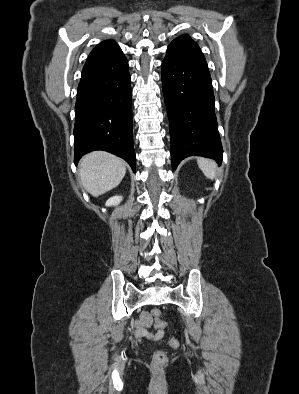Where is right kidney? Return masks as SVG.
<instances>
[{
	"label": "right kidney",
	"instance_id": "obj_1",
	"mask_svg": "<svg viewBox=\"0 0 299 394\" xmlns=\"http://www.w3.org/2000/svg\"><path fill=\"white\" fill-rule=\"evenodd\" d=\"M121 201H122L121 196H113L107 200L106 206H115V205L119 204Z\"/></svg>",
	"mask_w": 299,
	"mask_h": 394
}]
</instances>
